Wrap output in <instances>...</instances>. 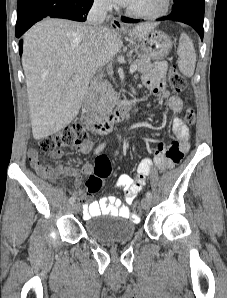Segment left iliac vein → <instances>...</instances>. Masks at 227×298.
Segmentation results:
<instances>
[{
    "instance_id": "obj_1",
    "label": "left iliac vein",
    "mask_w": 227,
    "mask_h": 298,
    "mask_svg": "<svg viewBox=\"0 0 227 298\" xmlns=\"http://www.w3.org/2000/svg\"><path fill=\"white\" fill-rule=\"evenodd\" d=\"M141 205H142V208L144 210L150 209V207H151V199L148 198V197L143 198L142 199V202H141Z\"/></svg>"
}]
</instances>
